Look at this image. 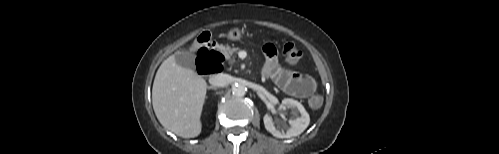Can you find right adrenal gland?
Wrapping results in <instances>:
<instances>
[{
    "label": "right adrenal gland",
    "mask_w": 499,
    "mask_h": 154,
    "mask_svg": "<svg viewBox=\"0 0 499 154\" xmlns=\"http://www.w3.org/2000/svg\"><path fill=\"white\" fill-rule=\"evenodd\" d=\"M208 89H216L214 86H209Z\"/></svg>",
    "instance_id": "right-adrenal-gland-1"
}]
</instances>
